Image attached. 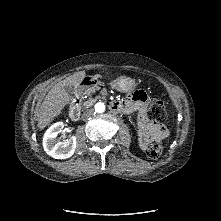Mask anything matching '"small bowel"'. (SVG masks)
I'll return each mask as SVG.
<instances>
[{
	"mask_svg": "<svg viewBox=\"0 0 221 221\" xmlns=\"http://www.w3.org/2000/svg\"><path fill=\"white\" fill-rule=\"evenodd\" d=\"M147 97L141 90H136L124 103L126 113L137 114V135L140 147L146 150L150 143L160 141L168 135L167 129L158 122H153L147 115Z\"/></svg>",
	"mask_w": 221,
	"mask_h": 221,
	"instance_id": "1",
	"label": "small bowel"
}]
</instances>
